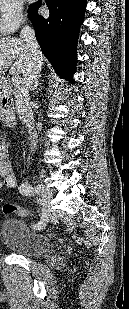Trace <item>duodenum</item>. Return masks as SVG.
<instances>
[{"label": "duodenum", "instance_id": "obj_1", "mask_svg": "<svg viewBox=\"0 0 129 309\" xmlns=\"http://www.w3.org/2000/svg\"><path fill=\"white\" fill-rule=\"evenodd\" d=\"M0 118L8 126L13 127L16 123V116L14 112L13 102L5 100L0 105Z\"/></svg>", "mask_w": 129, "mask_h": 309}]
</instances>
